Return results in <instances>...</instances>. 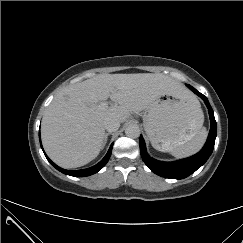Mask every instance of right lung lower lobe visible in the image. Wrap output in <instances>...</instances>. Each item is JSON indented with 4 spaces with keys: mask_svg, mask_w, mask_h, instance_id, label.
<instances>
[{
    "mask_svg": "<svg viewBox=\"0 0 243 243\" xmlns=\"http://www.w3.org/2000/svg\"><path fill=\"white\" fill-rule=\"evenodd\" d=\"M39 138H40V134H39ZM112 146L113 144H111L107 154L105 155V157L95 166L87 168V169H82V170H65L63 168H60L59 166H57L55 163H53L48 156L45 154L47 160L60 172L66 174V175H70V176H74V177H85V176H89L92 175L96 172H98L99 170H101L105 164L108 162L111 152H112ZM42 148V145H41ZM43 149V148H42ZM44 152V151H43Z\"/></svg>",
    "mask_w": 243,
    "mask_h": 243,
    "instance_id": "obj_1",
    "label": "right lung lower lobe"
}]
</instances>
